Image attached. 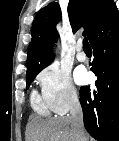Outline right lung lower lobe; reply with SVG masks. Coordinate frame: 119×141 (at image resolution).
I'll return each instance as SVG.
<instances>
[{
	"instance_id": "98d812e1",
	"label": "right lung lower lobe",
	"mask_w": 119,
	"mask_h": 141,
	"mask_svg": "<svg viewBox=\"0 0 119 141\" xmlns=\"http://www.w3.org/2000/svg\"><path fill=\"white\" fill-rule=\"evenodd\" d=\"M90 44L97 80L95 89H80L84 125L97 141H119V14L97 30Z\"/></svg>"
}]
</instances>
